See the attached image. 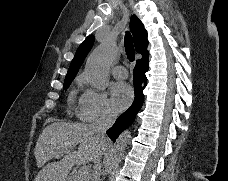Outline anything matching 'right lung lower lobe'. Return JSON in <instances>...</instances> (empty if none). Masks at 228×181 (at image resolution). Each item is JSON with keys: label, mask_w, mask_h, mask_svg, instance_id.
Returning <instances> with one entry per match:
<instances>
[{"label": "right lung lower lobe", "mask_w": 228, "mask_h": 181, "mask_svg": "<svg viewBox=\"0 0 228 181\" xmlns=\"http://www.w3.org/2000/svg\"><path fill=\"white\" fill-rule=\"evenodd\" d=\"M148 57L149 55L144 56L136 61V66L133 70L135 99L130 108L126 110L121 116H119L114 125L107 130L106 133L112 141H115L120 133L133 123L136 118V114L139 112L143 105V89L146 86L147 82L145 73L149 69Z\"/></svg>", "instance_id": "right-lung-lower-lobe-1"}]
</instances>
